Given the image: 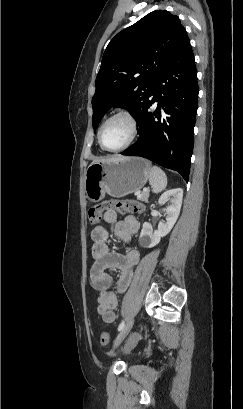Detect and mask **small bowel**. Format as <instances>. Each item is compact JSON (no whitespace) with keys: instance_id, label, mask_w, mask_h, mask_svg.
Returning <instances> with one entry per match:
<instances>
[{"instance_id":"obj_1","label":"small bowel","mask_w":243,"mask_h":409,"mask_svg":"<svg viewBox=\"0 0 243 409\" xmlns=\"http://www.w3.org/2000/svg\"><path fill=\"white\" fill-rule=\"evenodd\" d=\"M103 221L128 245L139 229V223L134 216H126L123 220H118L117 213L113 210L103 213ZM90 237L93 242L94 259L90 269V280L92 287L98 292L97 312L104 323L110 324L116 320L118 302L115 293L111 291L113 278L107 270L115 269L120 272L116 288L119 293L125 292L131 283L133 268L139 262V252L134 247H129L123 254L112 251L107 243L110 231L102 225L94 227Z\"/></svg>"}]
</instances>
